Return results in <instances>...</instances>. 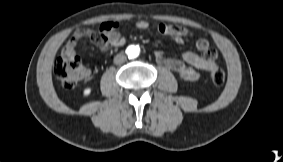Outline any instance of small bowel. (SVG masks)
Wrapping results in <instances>:
<instances>
[{"mask_svg": "<svg viewBox=\"0 0 283 162\" xmlns=\"http://www.w3.org/2000/svg\"><path fill=\"white\" fill-rule=\"evenodd\" d=\"M135 27L139 30H147L150 28V23L146 20H139L135 23ZM116 29L117 24L115 22H104L98 31L90 29L77 30L65 44L63 54L75 55L78 42L84 38L92 39L101 47L103 52H107L113 47L122 46L125 44L126 39ZM157 31L164 36L170 37L177 44H183L187 37L194 36L186 28L165 23L158 24ZM195 46L200 54L187 51L181 54L180 59H174L166 57L161 51H156V61L175 72L185 81H197L202 71H208L215 65L217 55L204 38H198Z\"/></svg>", "mask_w": 283, "mask_h": 162, "instance_id": "c3829d8e", "label": "small bowel"}]
</instances>
